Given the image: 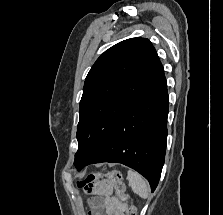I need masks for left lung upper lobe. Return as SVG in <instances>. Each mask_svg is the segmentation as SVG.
I'll use <instances>...</instances> for the list:
<instances>
[{"label": "left lung upper lobe", "mask_w": 223, "mask_h": 215, "mask_svg": "<svg viewBox=\"0 0 223 215\" xmlns=\"http://www.w3.org/2000/svg\"><path fill=\"white\" fill-rule=\"evenodd\" d=\"M161 68L155 48L145 38L119 42L97 59L80 101L75 167L86 165Z\"/></svg>", "instance_id": "left-lung-upper-lobe-1"}]
</instances>
